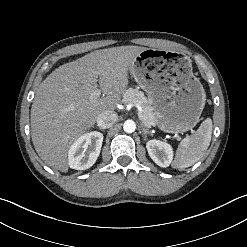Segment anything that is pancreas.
Returning a JSON list of instances; mask_svg holds the SVG:
<instances>
[{
  "mask_svg": "<svg viewBox=\"0 0 247 247\" xmlns=\"http://www.w3.org/2000/svg\"><path fill=\"white\" fill-rule=\"evenodd\" d=\"M123 102L125 104L140 105L142 108V122L147 125H155V115L152 111L148 99L144 96L143 92L139 91L138 89L129 88L124 92Z\"/></svg>",
  "mask_w": 247,
  "mask_h": 247,
  "instance_id": "pancreas-1",
  "label": "pancreas"
}]
</instances>
